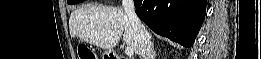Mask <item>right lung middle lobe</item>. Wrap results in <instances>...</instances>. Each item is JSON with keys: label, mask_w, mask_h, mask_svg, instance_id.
Returning a JSON list of instances; mask_svg holds the SVG:
<instances>
[{"label": "right lung middle lobe", "mask_w": 261, "mask_h": 59, "mask_svg": "<svg viewBox=\"0 0 261 59\" xmlns=\"http://www.w3.org/2000/svg\"><path fill=\"white\" fill-rule=\"evenodd\" d=\"M80 2H83V0H71L68 3L69 4H76V3H80Z\"/></svg>", "instance_id": "1"}]
</instances>
